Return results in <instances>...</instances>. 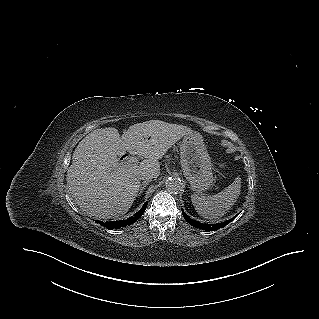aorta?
Listing matches in <instances>:
<instances>
[{
  "instance_id": "obj_1",
  "label": "aorta",
  "mask_w": 319,
  "mask_h": 319,
  "mask_svg": "<svg viewBox=\"0 0 319 319\" xmlns=\"http://www.w3.org/2000/svg\"><path fill=\"white\" fill-rule=\"evenodd\" d=\"M165 184L167 190L172 193H178L183 189V184L181 180L177 178H168Z\"/></svg>"
}]
</instances>
